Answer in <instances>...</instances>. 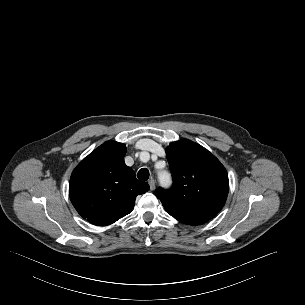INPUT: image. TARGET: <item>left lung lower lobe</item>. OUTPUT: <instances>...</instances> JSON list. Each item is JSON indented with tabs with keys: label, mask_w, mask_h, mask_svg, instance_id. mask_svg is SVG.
<instances>
[{
	"label": "left lung lower lobe",
	"mask_w": 305,
	"mask_h": 305,
	"mask_svg": "<svg viewBox=\"0 0 305 305\" xmlns=\"http://www.w3.org/2000/svg\"><path fill=\"white\" fill-rule=\"evenodd\" d=\"M182 223L188 224V225H200L205 222H199V221H187V220H179Z\"/></svg>",
	"instance_id": "left-lung-lower-lobe-1"
}]
</instances>
